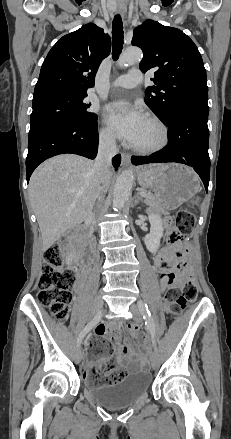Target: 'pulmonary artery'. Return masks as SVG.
<instances>
[{
	"mask_svg": "<svg viewBox=\"0 0 231 439\" xmlns=\"http://www.w3.org/2000/svg\"><path fill=\"white\" fill-rule=\"evenodd\" d=\"M142 82V73L139 70H132L125 75L116 78L112 84V88H126L131 89Z\"/></svg>",
	"mask_w": 231,
	"mask_h": 439,
	"instance_id": "pulmonary-artery-1",
	"label": "pulmonary artery"
}]
</instances>
